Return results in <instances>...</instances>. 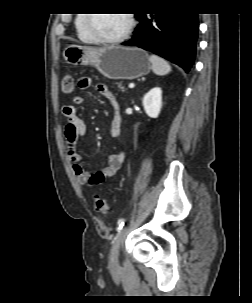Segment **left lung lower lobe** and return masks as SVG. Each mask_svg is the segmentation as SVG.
Wrapping results in <instances>:
<instances>
[{"instance_id": "0a47b994", "label": "left lung lower lobe", "mask_w": 252, "mask_h": 303, "mask_svg": "<svg viewBox=\"0 0 252 303\" xmlns=\"http://www.w3.org/2000/svg\"><path fill=\"white\" fill-rule=\"evenodd\" d=\"M134 36L123 45L151 51L190 71L196 54L198 16L195 13L137 16Z\"/></svg>"}]
</instances>
